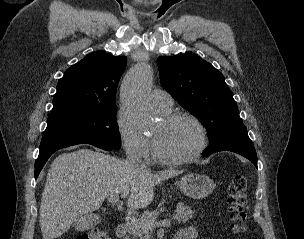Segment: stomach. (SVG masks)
<instances>
[{"instance_id":"0dacf381","label":"stomach","mask_w":304,"mask_h":239,"mask_svg":"<svg viewBox=\"0 0 304 239\" xmlns=\"http://www.w3.org/2000/svg\"><path fill=\"white\" fill-rule=\"evenodd\" d=\"M181 192L193 199L207 197L215 188V183L208 176L190 173L183 176L177 183Z\"/></svg>"}]
</instances>
